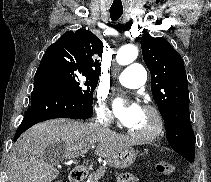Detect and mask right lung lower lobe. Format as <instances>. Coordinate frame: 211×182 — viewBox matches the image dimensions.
Listing matches in <instances>:
<instances>
[{"mask_svg":"<svg viewBox=\"0 0 211 182\" xmlns=\"http://www.w3.org/2000/svg\"><path fill=\"white\" fill-rule=\"evenodd\" d=\"M93 114L92 105L78 100L47 72L38 70L34 78L31 106L18 127L14 141L28 128L41 121L54 118L87 119Z\"/></svg>","mask_w":211,"mask_h":182,"instance_id":"98d812e1","label":"right lung lower lobe"}]
</instances>
